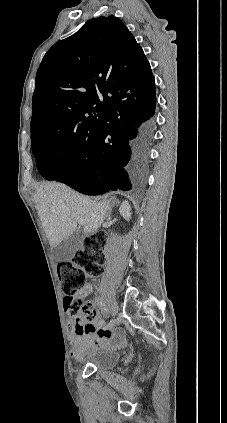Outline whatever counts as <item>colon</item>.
Returning a JSON list of instances; mask_svg holds the SVG:
<instances>
[{
    "label": "colon",
    "mask_w": 227,
    "mask_h": 423,
    "mask_svg": "<svg viewBox=\"0 0 227 423\" xmlns=\"http://www.w3.org/2000/svg\"><path fill=\"white\" fill-rule=\"evenodd\" d=\"M106 242V233L97 232L85 238L84 248L72 260L58 263V274L65 294L64 307L77 320L88 322L94 318L92 307L83 301L79 292L85 287L88 276L102 273Z\"/></svg>",
    "instance_id": "colon-1"
}]
</instances>
